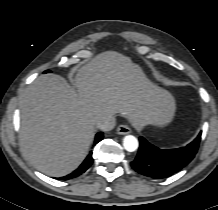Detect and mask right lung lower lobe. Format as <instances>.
<instances>
[{
  "instance_id": "1",
  "label": "right lung lower lobe",
  "mask_w": 218,
  "mask_h": 210,
  "mask_svg": "<svg viewBox=\"0 0 218 210\" xmlns=\"http://www.w3.org/2000/svg\"><path fill=\"white\" fill-rule=\"evenodd\" d=\"M102 138H103V133L99 132L95 137L94 143L97 144L102 140ZM92 163H93L92 152H90L87 158L83 161V163L79 166L78 169H76L71 174L62 177L61 179L68 180L71 178L78 177L79 175L83 174L92 165Z\"/></svg>"
}]
</instances>
